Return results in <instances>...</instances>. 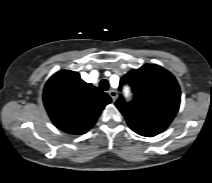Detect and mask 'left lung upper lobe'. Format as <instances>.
Returning a JSON list of instances; mask_svg holds the SVG:
<instances>
[{
    "label": "left lung upper lobe",
    "instance_id": "left-lung-upper-lobe-1",
    "mask_svg": "<svg viewBox=\"0 0 212 183\" xmlns=\"http://www.w3.org/2000/svg\"><path fill=\"white\" fill-rule=\"evenodd\" d=\"M134 93L131 102L121 96L116 106L129 127L139 135L152 137L164 131L176 115L180 89L175 77L164 68L145 64L121 78Z\"/></svg>",
    "mask_w": 212,
    "mask_h": 183
}]
</instances>
